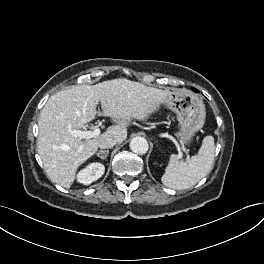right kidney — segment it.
Here are the masks:
<instances>
[{"instance_id":"right-kidney-1","label":"right kidney","mask_w":264,"mask_h":264,"mask_svg":"<svg viewBox=\"0 0 264 264\" xmlns=\"http://www.w3.org/2000/svg\"><path fill=\"white\" fill-rule=\"evenodd\" d=\"M105 171V167L101 163H91L81 170L77 175V181L84 185H89L93 181L99 179Z\"/></svg>"}]
</instances>
